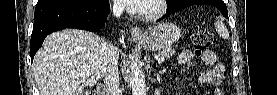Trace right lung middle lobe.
I'll list each match as a JSON object with an SVG mask.
<instances>
[{
	"instance_id": "1",
	"label": "right lung middle lobe",
	"mask_w": 277,
	"mask_h": 95,
	"mask_svg": "<svg viewBox=\"0 0 277 95\" xmlns=\"http://www.w3.org/2000/svg\"><path fill=\"white\" fill-rule=\"evenodd\" d=\"M69 1H88V0H38L37 5L51 3V2H69Z\"/></svg>"
}]
</instances>
